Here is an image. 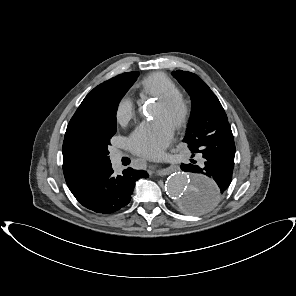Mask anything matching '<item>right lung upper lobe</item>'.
<instances>
[{
    "label": "right lung upper lobe",
    "mask_w": 296,
    "mask_h": 296,
    "mask_svg": "<svg viewBox=\"0 0 296 296\" xmlns=\"http://www.w3.org/2000/svg\"><path fill=\"white\" fill-rule=\"evenodd\" d=\"M125 74L118 75L95 87L84 98L67 126L62 152L64 177L70 191H74L92 175L111 165L109 159L83 158L77 154L76 148L86 137L88 110L105 95L112 84L122 79Z\"/></svg>",
    "instance_id": "cb5924a9"
}]
</instances>
